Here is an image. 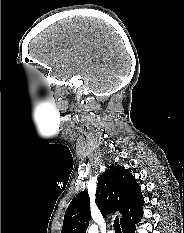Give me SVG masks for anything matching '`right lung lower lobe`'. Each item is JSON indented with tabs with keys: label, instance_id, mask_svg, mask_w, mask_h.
<instances>
[{
	"label": "right lung lower lobe",
	"instance_id": "obj_1",
	"mask_svg": "<svg viewBox=\"0 0 184 233\" xmlns=\"http://www.w3.org/2000/svg\"><path fill=\"white\" fill-rule=\"evenodd\" d=\"M143 215V210H141L136 216L131 218L129 221L122 224L123 233H135V224L140 221Z\"/></svg>",
	"mask_w": 184,
	"mask_h": 233
}]
</instances>
